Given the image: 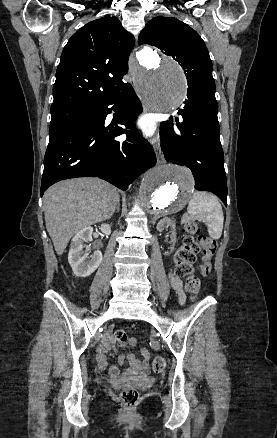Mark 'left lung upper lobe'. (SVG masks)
Here are the masks:
<instances>
[{"label":"left lung upper lobe","mask_w":277,"mask_h":438,"mask_svg":"<svg viewBox=\"0 0 277 438\" xmlns=\"http://www.w3.org/2000/svg\"><path fill=\"white\" fill-rule=\"evenodd\" d=\"M138 44L155 46L178 61L187 77L188 97H215L208 50L202 38L190 26L173 17H155L141 31Z\"/></svg>","instance_id":"5c2ea615"}]
</instances>
